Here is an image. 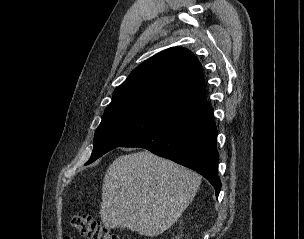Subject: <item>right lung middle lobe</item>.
I'll list each match as a JSON object with an SVG mask.
<instances>
[{"label":"right lung middle lobe","mask_w":304,"mask_h":239,"mask_svg":"<svg viewBox=\"0 0 304 239\" xmlns=\"http://www.w3.org/2000/svg\"><path fill=\"white\" fill-rule=\"evenodd\" d=\"M168 120L165 116L140 109L105 113L95 133L94 148L87 164Z\"/></svg>","instance_id":"right-lung-middle-lobe-1"}]
</instances>
